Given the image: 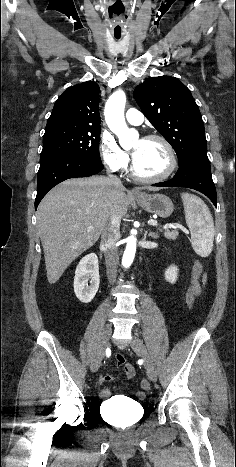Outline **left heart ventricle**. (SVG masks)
Here are the masks:
<instances>
[{
    "instance_id": "obj_1",
    "label": "left heart ventricle",
    "mask_w": 236,
    "mask_h": 467,
    "mask_svg": "<svg viewBox=\"0 0 236 467\" xmlns=\"http://www.w3.org/2000/svg\"><path fill=\"white\" fill-rule=\"evenodd\" d=\"M137 171L144 176H157L166 171L169 165L167 151L156 140H136L131 147Z\"/></svg>"
}]
</instances>
